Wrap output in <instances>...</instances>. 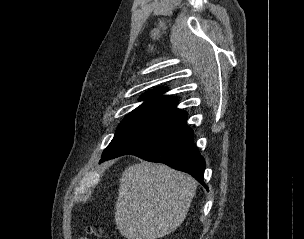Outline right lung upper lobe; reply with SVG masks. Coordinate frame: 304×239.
Listing matches in <instances>:
<instances>
[{"mask_svg": "<svg viewBox=\"0 0 304 239\" xmlns=\"http://www.w3.org/2000/svg\"><path fill=\"white\" fill-rule=\"evenodd\" d=\"M166 91L167 88H160L143 94L140 100H145V102L133 110L132 113H144L168 121L179 120L187 116L185 111L177 109L178 100L176 98L163 95Z\"/></svg>", "mask_w": 304, "mask_h": 239, "instance_id": "1", "label": "right lung upper lobe"}]
</instances>
